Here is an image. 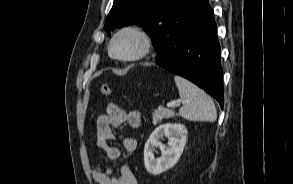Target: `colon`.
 Wrapping results in <instances>:
<instances>
[{
	"label": "colon",
	"instance_id": "colon-1",
	"mask_svg": "<svg viewBox=\"0 0 293 184\" xmlns=\"http://www.w3.org/2000/svg\"><path fill=\"white\" fill-rule=\"evenodd\" d=\"M100 92L105 96H111L113 94V90L107 84L101 85Z\"/></svg>",
	"mask_w": 293,
	"mask_h": 184
}]
</instances>
